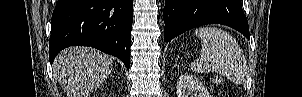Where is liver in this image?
Listing matches in <instances>:
<instances>
[{"instance_id":"6515ba94","label":"liver","mask_w":302,"mask_h":97,"mask_svg":"<svg viewBox=\"0 0 302 97\" xmlns=\"http://www.w3.org/2000/svg\"><path fill=\"white\" fill-rule=\"evenodd\" d=\"M113 58L96 49L70 47L55 59L53 70L68 97H88L113 69Z\"/></svg>"}]
</instances>
